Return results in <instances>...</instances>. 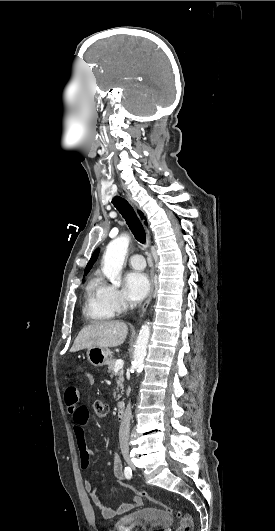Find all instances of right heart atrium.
I'll list each match as a JSON object with an SVG mask.
<instances>
[{
    "mask_svg": "<svg viewBox=\"0 0 275 531\" xmlns=\"http://www.w3.org/2000/svg\"><path fill=\"white\" fill-rule=\"evenodd\" d=\"M97 305L109 317H118L129 308L125 294L104 280H100L97 285Z\"/></svg>",
    "mask_w": 275,
    "mask_h": 531,
    "instance_id": "obj_1",
    "label": "right heart atrium"
}]
</instances>
